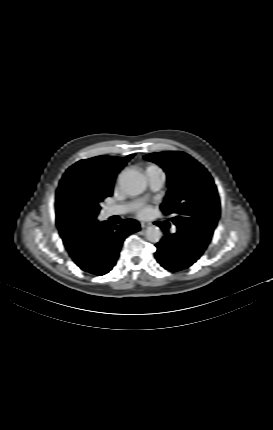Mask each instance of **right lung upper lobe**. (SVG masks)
Here are the masks:
<instances>
[{
  "mask_svg": "<svg viewBox=\"0 0 273 430\" xmlns=\"http://www.w3.org/2000/svg\"><path fill=\"white\" fill-rule=\"evenodd\" d=\"M132 157L133 154L125 158L97 156L80 160L66 171L61 181L76 179L86 188L106 190L112 193L117 173ZM60 235L67 250L75 248L82 241V232H60Z\"/></svg>",
  "mask_w": 273,
  "mask_h": 430,
  "instance_id": "right-lung-upper-lobe-1",
  "label": "right lung upper lobe"
}]
</instances>
